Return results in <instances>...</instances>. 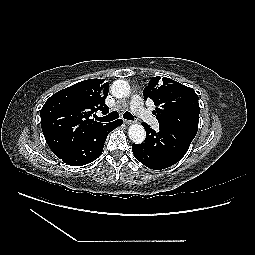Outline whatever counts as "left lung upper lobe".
<instances>
[{
	"instance_id": "1",
	"label": "left lung upper lobe",
	"mask_w": 255,
	"mask_h": 255,
	"mask_svg": "<svg viewBox=\"0 0 255 255\" xmlns=\"http://www.w3.org/2000/svg\"><path fill=\"white\" fill-rule=\"evenodd\" d=\"M144 100L156 105L153 114L159 124H172L198 129L199 103L193 88L170 78L153 77L143 90Z\"/></svg>"
}]
</instances>
